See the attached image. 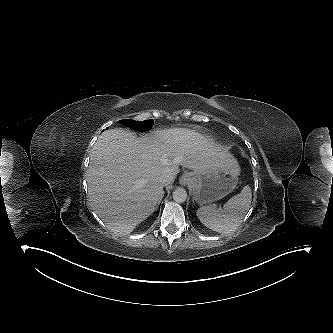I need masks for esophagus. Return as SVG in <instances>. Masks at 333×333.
I'll use <instances>...</instances> for the list:
<instances>
[{"mask_svg":"<svg viewBox=\"0 0 333 333\" xmlns=\"http://www.w3.org/2000/svg\"><path fill=\"white\" fill-rule=\"evenodd\" d=\"M189 181V178H188V176H182V178L180 179V182H181V184H183V185H185V184H187V182Z\"/></svg>","mask_w":333,"mask_h":333,"instance_id":"obj_1","label":"esophagus"}]
</instances>
